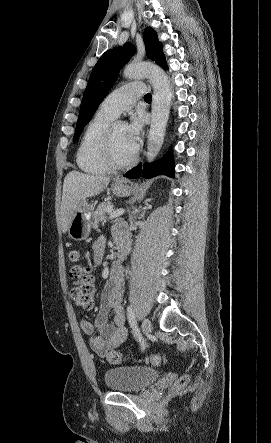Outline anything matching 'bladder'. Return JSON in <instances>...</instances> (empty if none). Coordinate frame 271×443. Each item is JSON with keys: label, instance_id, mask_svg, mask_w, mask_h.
Wrapping results in <instances>:
<instances>
[{"label": "bladder", "instance_id": "1", "mask_svg": "<svg viewBox=\"0 0 271 443\" xmlns=\"http://www.w3.org/2000/svg\"><path fill=\"white\" fill-rule=\"evenodd\" d=\"M159 376V371L151 367L122 365L109 368L104 374V382L112 391L134 392L150 385Z\"/></svg>", "mask_w": 271, "mask_h": 443}]
</instances>
